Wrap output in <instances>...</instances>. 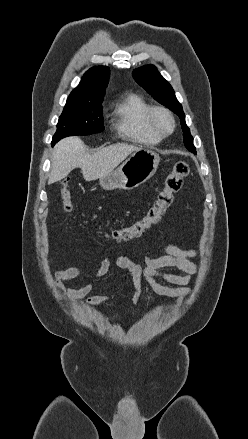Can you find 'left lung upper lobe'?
Returning a JSON list of instances; mask_svg holds the SVG:
<instances>
[{
	"label": "left lung upper lobe",
	"mask_w": 248,
	"mask_h": 439,
	"mask_svg": "<svg viewBox=\"0 0 248 439\" xmlns=\"http://www.w3.org/2000/svg\"><path fill=\"white\" fill-rule=\"evenodd\" d=\"M135 81L143 87L155 100L176 113L182 125L184 144L189 151L196 153L193 137L185 123L182 105L178 102L172 86L160 75L154 65H145L132 73Z\"/></svg>",
	"instance_id": "1"
}]
</instances>
